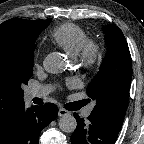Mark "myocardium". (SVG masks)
<instances>
[{
	"label": "myocardium",
	"instance_id": "obj_1",
	"mask_svg": "<svg viewBox=\"0 0 144 144\" xmlns=\"http://www.w3.org/2000/svg\"><path fill=\"white\" fill-rule=\"evenodd\" d=\"M102 49L98 41L86 39L76 54L79 64L84 68L95 66L101 59Z\"/></svg>",
	"mask_w": 144,
	"mask_h": 144
}]
</instances>
